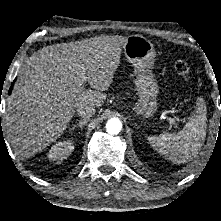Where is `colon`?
<instances>
[{
  "label": "colon",
  "instance_id": "5ec220e1",
  "mask_svg": "<svg viewBox=\"0 0 221 221\" xmlns=\"http://www.w3.org/2000/svg\"><path fill=\"white\" fill-rule=\"evenodd\" d=\"M177 73L186 81L190 80L191 69L189 63L184 59H178L175 63Z\"/></svg>",
  "mask_w": 221,
  "mask_h": 221
}]
</instances>
